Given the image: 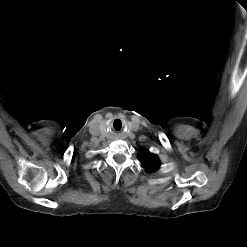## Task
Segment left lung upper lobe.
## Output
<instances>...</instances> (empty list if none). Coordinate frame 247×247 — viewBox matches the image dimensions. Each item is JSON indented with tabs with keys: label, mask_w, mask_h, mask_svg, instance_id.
<instances>
[{
	"label": "left lung upper lobe",
	"mask_w": 247,
	"mask_h": 247,
	"mask_svg": "<svg viewBox=\"0 0 247 247\" xmlns=\"http://www.w3.org/2000/svg\"><path fill=\"white\" fill-rule=\"evenodd\" d=\"M138 158L148 171H156L160 166L158 157L149 153L148 151L140 154Z\"/></svg>",
	"instance_id": "left-lung-upper-lobe-1"
}]
</instances>
